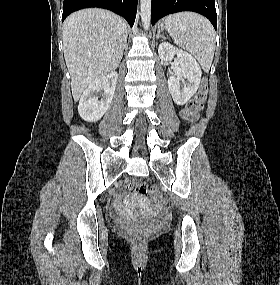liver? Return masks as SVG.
Instances as JSON below:
<instances>
[{"label":"liver","mask_w":280,"mask_h":285,"mask_svg":"<svg viewBox=\"0 0 280 285\" xmlns=\"http://www.w3.org/2000/svg\"><path fill=\"white\" fill-rule=\"evenodd\" d=\"M126 39V23L110 11L84 9L67 17L63 49L75 101L96 79L118 67Z\"/></svg>","instance_id":"6515ba94"}]
</instances>
